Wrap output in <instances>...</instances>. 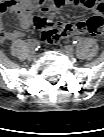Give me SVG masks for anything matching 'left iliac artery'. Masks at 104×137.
I'll return each mask as SVG.
<instances>
[{"mask_svg":"<svg viewBox=\"0 0 104 137\" xmlns=\"http://www.w3.org/2000/svg\"><path fill=\"white\" fill-rule=\"evenodd\" d=\"M78 43H79V40H78V39H74V40H73V44H74V45H78Z\"/></svg>","mask_w":104,"mask_h":137,"instance_id":"1","label":"left iliac artery"}]
</instances>
